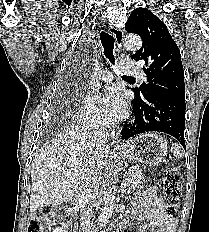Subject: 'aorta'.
<instances>
[{"label":"aorta","instance_id":"762f6f07","mask_svg":"<svg viewBox=\"0 0 209 232\" xmlns=\"http://www.w3.org/2000/svg\"><path fill=\"white\" fill-rule=\"evenodd\" d=\"M124 45L130 50H139L142 47V40L137 35H126L124 38ZM115 205V186L109 184L103 193V207L100 210L98 217V224L100 227L106 226L109 222Z\"/></svg>","mask_w":209,"mask_h":232}]
</instances>
